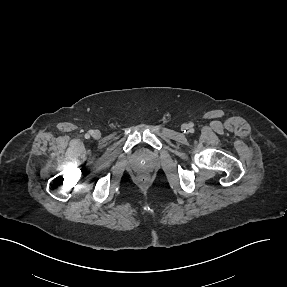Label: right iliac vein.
Returning <instances> with one entry per match:
<instances>
[{
    "instance_id": "1",
    "label": "right iliac vein",
    "mask_w": 287,
    "mask_h": 287,
    "mask_svg": "<svg viewBox=\"0 0 287 287\" xmlns=\"http://www.w3.org/2000/svg\"><path fill=\"white\" fill-rule=\"evenodd\" d=\"M100 136H101V134H100L99 131H94V132H93V137H94L95 139H99Z\"/></svg>"
}]
</instances>
